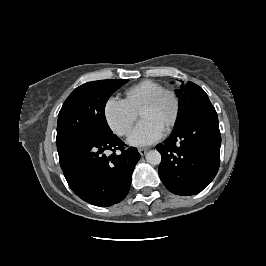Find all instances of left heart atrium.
Segmentation results:
<instances>
[{"mask_svg":"<svg viewBox=\"0 0 266 266\" xmlns=\"http://www.w3.org/2000/svg\"><path fill=\"white\" fill-rule=\"evenodd\" d=\"M164 127L153 119L141 120L131 132L128 142L134 146L153 144L163 137Z\"/></svg>","mask_w":266,"mask_h":266,"instance_id":"left-heart-atrium-1","label":"left heart atrium"}]
</instances>
